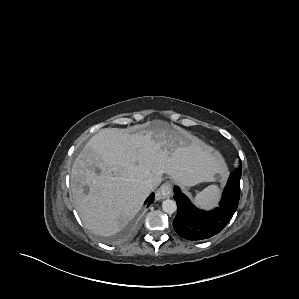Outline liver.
Returning <instances> with one entry per match:
<instances>
[{
    "label": "liver",
    "instance_id": "6515ba94",
    "mask_svg": "<svg viewBox=\"0 0 299 299\" xmlns=\"http://www.w3.org/2000/svg\"><path fill=\"white\" fill-rule=\"evenodd\" d=\"M226 165L219 153L179 127L156 121L129 134L105 128L95 134L71 170L73 205L84 226L101 236L119 232L141 209L163 174L181 186L214 181ZM85 188L88 189L85 193Z\"/></svg>",
    "mask_w": 299,
    "mask_h": 299
}]
</instances>
